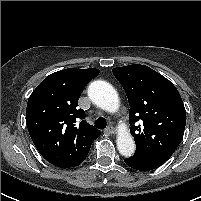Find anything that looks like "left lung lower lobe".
Here are the masks:
<instances>
[{
	"instance_id": "left-lung-lower-lobe-1",
	"label": "left lung lower lobe",
	"mask_w": 201,
	"mask_h": 201,
	"mask_svg": "<svg viewBox=\"0 0 201 201\" xmlns=\"http://www.w3.org/2000/svg\"><path fill=\"white\" fill-rule=\"evenodd\" d=\"M169 157L158 156V157H137L131 156L126 158L124 162L133 169L139 171H149L161 166L165 163Z\"/></svg>"
}]
</instances>
